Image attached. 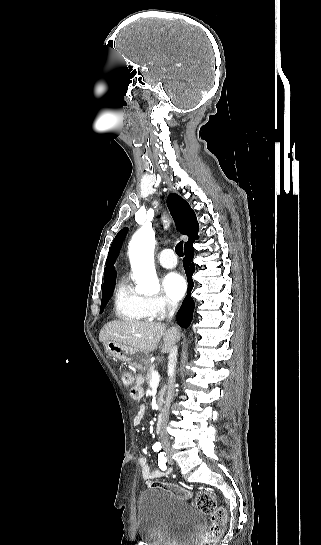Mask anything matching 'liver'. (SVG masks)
<instances>
[{
    "mask_svg": "<svg viewBox=\"0 0 321 545\" xmlns=\"http://www.w3.org/2000/svg\"><path fill=\"white\" fill-rule=\"evenodd\" d=\"M178 339L177 329H166L163 323L155 321H110L99 333L100 343L114 341L142 353H151L155 349H161V353H170Z\"/></svg>",
    "mask_w": 321,
    "mask_h": 545,
    "instance_id": "obj_1",
    "label": "liver"
}]
</instances>
